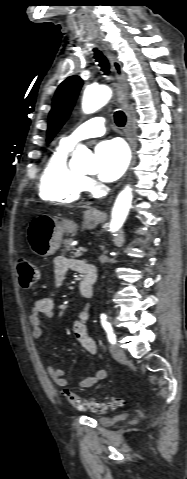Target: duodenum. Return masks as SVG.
<instances>
[{
	"label": "duodenum",
	"mask_w": 187,
	"mask_h": 479,
	"mask_svg": "<svg viewBox=\"0 0 187 479\" xmlns=\"http://www.w3.org/2000/svg\"><path fill=\"white\" fill-rule=\"evenodd\" d=\"M90 266H92V265H90ZM95 282H96L95 268H94V270H92V269L87 270L85 272V278L81 281V283L79 285L80 293L86 299H90V298L93 297L94 291H95Z\"/></svg>",
	"instance_id": "obj_1"
}]
</instances>
